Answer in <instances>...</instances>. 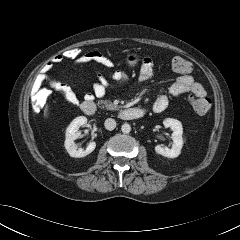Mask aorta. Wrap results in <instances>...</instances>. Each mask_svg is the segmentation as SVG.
Segmentation results:
<instances>
[{
	"instance_id": "obj_1",
	"label": "aorta",
	"mask_w": 240,
	"mask_h": 240,
	"mask_svg": "<svg viewBox=\"0 0 240 240\" xmlns=\"http://www.w3.org/2000/svg\"><path fill=\"white\" fill-rule=\"evenodd\" d=\"M121 130H122L123 133L128 134L131 131V126L129 124H127V123H124L121 126Z\"/></svg>"
}]
</instances>
